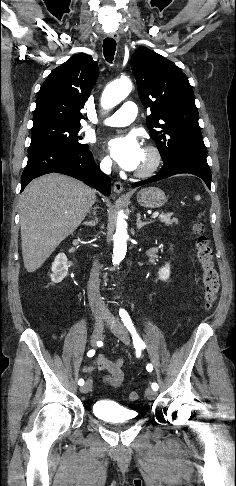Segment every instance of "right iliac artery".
<instances>
[{
  "instance_id": "obj_1",
  "label": "right iliac artery",
  "mask_w": 236,
  "mask_h": 486,
  "mask_svg": "<svg viewBox=\"0 0 236 486\" xmlns=\"http://www.w3.org/2000/svg\"><path fill=\"white\" fill-rule=\"evenodd\" d=\"M94 354H95V350H93V349H92V350L88 351L87 356H88V357H92V356H94ZM78 384H79L80 386H82V385L84 384V380H83V379H80V380L78 381Z\"/></svg>"
}]
</instances>
